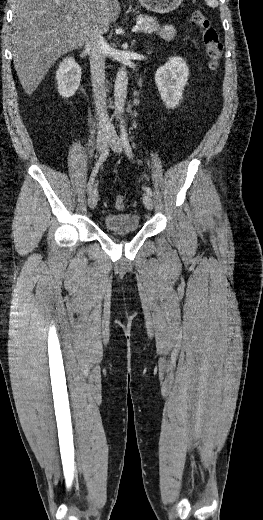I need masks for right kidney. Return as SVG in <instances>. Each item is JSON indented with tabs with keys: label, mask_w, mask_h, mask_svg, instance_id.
I'll return each mask as SVG.
<instances>
[{
	"label": "right kidney",
	"mask_w": 263,
	"mask_h": 520,
	"mask_svg": "<svg viewBox=\"0 0 263 520\" xmlns=\"http://www.w3.org/2000/svg\"><path fill=\"white\" fill-rule=\"evenodd\" d=\"M58 92L64 98L72 97L81 80V67L72 57L63 59L56 72Z\"/></svg>",
	"instance_id": "obj_1"
}]
</instances>
